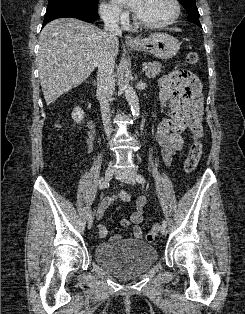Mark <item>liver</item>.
Returning a JSON list of instances; mask_svg holds the SVG:
<instances>
[{
  "mask_svg": "<svg viewBox=\"0 0 245 314\" xmlns=\"http://www.w3.org/2000/svg\"><path fill=\"white\" fill-rule=\"evenodd\" d=\"M38 70L49 106L83 83L106 58L118 55L119 41L93 24L75 18L48 23L39 37ZM89 57V60H86Z\"/></svg>",
  "mask_w": 245,
  "mask_h": 314,
  "instance_id": "obj_1",
  "label": "liver"
}]
</instances>
